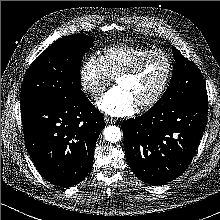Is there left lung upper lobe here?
<instances>
[{"instance_id":"5c2ea615","label":"left lung upper lobe","mask_w":220,"mask_h":220,"mask_svg":"<svg viewBox=\"0 0 220 220\" xmlns=\"http://www.w3.org/2000/svg\"><path fill=\"white\" fill-rule=\"evenodd\" d=\"M172 50L175 57L172 79L167 90L153 108L207 96L205 81L197 66L185 58L175 47Z\"/></svg>"}]
</instances>
